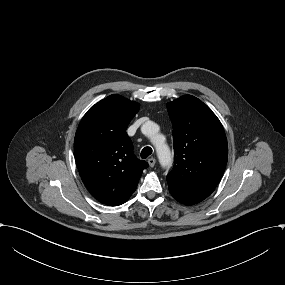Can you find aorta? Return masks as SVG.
Listing matches in <instances>:
<instances>
[{
  "label": "aorta",
  "instance_id": "762f6f07",
  "mask_svg": "<svg viewBox=\"0 0 285 285\" xmlns=\"http://www.w3.org/2000/svg\"><path fill=\"white\" fill-rule=\"evenodd\" d=\"M155 125L153 123H149L144 127V133L151 138L153 144L157 150V156L159 158L160 163L162 166H169L171 163V154L168 145L163 142H159L157 140V136L154 132Z\"/></svg>",
  "mask_w": 285,
  "mask_h": 285
}]
</instances>
